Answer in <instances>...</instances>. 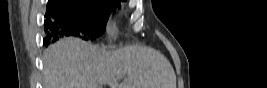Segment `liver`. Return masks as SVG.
I'll return each mask as SVG.
<instances>
[{
    "instance_id": "obj_1",
    "label": "liver",
    "mask_w": 267,
    "mask_h": 88,
    "mask_svg": "<svg viewBox=\"0 0 267 88\" xmlns=\"http://www.w3.org/2000/svg\"><path fill=\"white\" fill-rule=\"evenodd\" d=\"M42 60L44 88H176L170 62L145 46L106 51L66 37L50 45Z\"/></svg>"
}]
</instances>
